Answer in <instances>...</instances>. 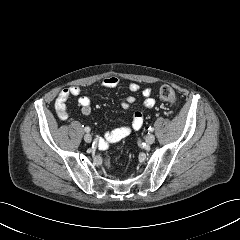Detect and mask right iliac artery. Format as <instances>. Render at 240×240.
I'll return each instance as SVG.
<instances>
[{
    "label": "right iliac artery",
    "instance_id": "1",
    "mask_svg": "<svg viewBox=\"0 0 240 240\" xmlns=\"http://www.w3.org/2000/svg\"><path fill=\"white\" fill-rule=\"evenodd\" d=\"M84 130H85V132H90V128L89 127H85Z\"/></svg>",
    "mask_w": 240,
    "mask_h": 240
}]
</instances>
